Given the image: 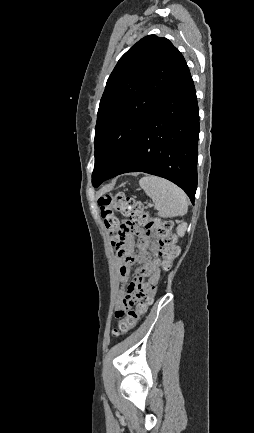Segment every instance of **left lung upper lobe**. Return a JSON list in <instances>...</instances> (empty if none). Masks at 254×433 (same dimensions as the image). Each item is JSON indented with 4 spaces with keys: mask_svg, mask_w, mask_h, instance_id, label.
<instances>
[{
    "mask_svg": "<svg viewBox=\"0 0 254 433\" xmlns=\"http://www.w3.org/2000/svg\"><path fill=\"white\" fill-rule=\"evenodd\" d=\"M185 59L172 43L148 35L133 45L109 76L95 127L92 184L98 187L125 161L141 129Z\"/></svg>",
    "mask_w": 254,
    "mask_h": 433,
    "instance_id": "obj_1",
    "label": "left lung upper lobe"
}]
</instances>
